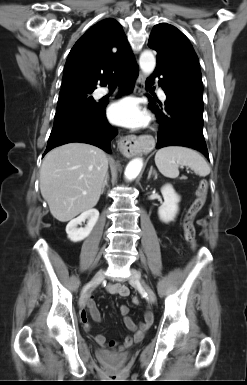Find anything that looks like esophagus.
<instances>
[{
  "label": "esophagus",
  "instance_id": "34e87169",
  "mask_svg": "<svg viewBox=\"0 0 247 385\" xmlns=\"http://www.w3.org/2000/svg\"><path fill=\"white\" fill-rule=\"evenodd\" d=\"M145 83V76L143 73H139L137 78V85L135 86V94L140 93L142 87ZM120 151L126 156V157H132L134 156L137 151L140 149L139 140L136 136H126L122 137L118 143Z\"/></svg>",
  "mask_w": 247,
  "mask_h": 385
}]
</instances>
